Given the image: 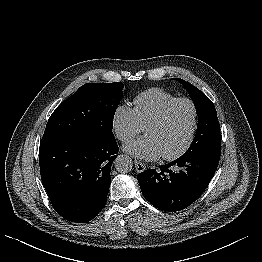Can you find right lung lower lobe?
I'll list each match as a JSON object with an SVG mask.
<instances>
[{
    "instance_id": "98d812e1",
    "label": "right lung lower lobe",
    "mask_w": 262,
    "mask_h": 262,
    "mask_svg": "<svg viewBox=\"0 0 262 262\" xmlns=\"http://www.w3.org/2000/svg\"><path fill=\"white\" fill-rule=\"evenodd\" d=\"M117 152L115 137L42 138L41 179L59 215L72 222L86 223L104 208Z\"/></svg>"
}]
</instances>
